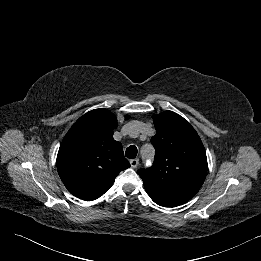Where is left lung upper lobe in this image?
<instances>
[{"mask_svg": "<svg viewBox=\"0 0 261 261\" xmlns=\"http://www.w3.org/2000/svg\"><path fill=\"white\" fill-rule=\"evenodd\" d=\"M156 154L153 166L138 170L146 188L194 197L207 173V157L200 137L180 115L165 111L153 116Z\"/></svg>", "mask_w": 261, "mask_h": 261, "instance_id": "left-lung-upper-lobe-1", "label": "left lung upper lobe"}]
</instances>
